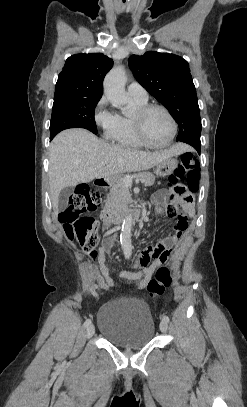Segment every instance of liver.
<instances>
[{"label": "liver", "instance_id": "6515ba94", "mask_svg": "<svg viewBox=\"0 0 247 407\" xmlns=\"http://www.w3.org/2000/svg\"><path fill=\"white\" fill-rule=\"evenodd\" d=\"M187 150V145L179 143L169 149L143 152L107 144L85 129L62 131L49 148L48 174L54 215L58 213V197L64 188L88 183L95 178L146 170ZM100 163L106 164L99 167Z\"/></svg>", "mask_w": 247, "mask_h": 407}]
</instances>
